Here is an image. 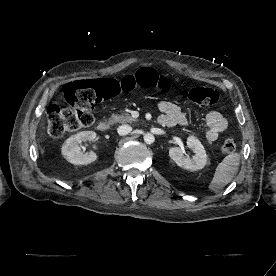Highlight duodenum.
Here are the masks:
<instances>
[{
    "label": "duodenum",
    "instance_id": "410a0bca",
    "mask_svg": "<svg viewBox=\"0 0 276 276\" xmlns=\"http://www.w3.org/2000/svg\"><path fill=\"white\" fill-rule=\"evenodd\" d=\"M110 128V125L107 121L102 120L97 124V129L100 132H107Z\"/></svg>",
    "mask_w": 276,
    "mask_h": 276
}]
</instances>
